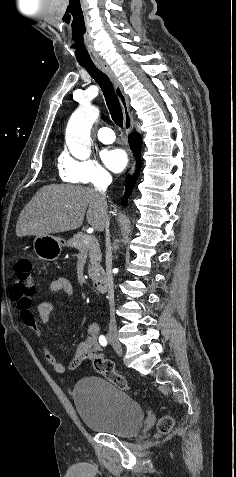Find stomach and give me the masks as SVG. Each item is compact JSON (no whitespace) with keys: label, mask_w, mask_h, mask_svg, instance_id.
I'll use <instances>...</instances> for the list:
<instances>
[{"label":"stomach","mask_w":236,"mask_h":477,"mask_svg":"<svg viewBox=\"0 0 236 477\" xmlns=\"http://www.w3.org/2000/svg\"><path fill=\"white\" fill-rule=\"evenodd\" d=\"M67 245L59 237L44 235L36 236L33 242L36 255L46 261H54L58 259L62 252V248Z\"/></svg>","instance_id":"1"}]
</instances>
